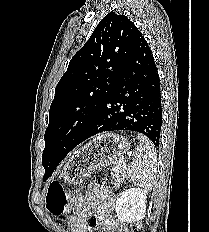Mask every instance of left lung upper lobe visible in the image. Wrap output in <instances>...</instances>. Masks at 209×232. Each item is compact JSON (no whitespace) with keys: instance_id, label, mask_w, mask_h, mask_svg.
Here are the masks:
<instances>
[{"instance_id":"5c2ea615","label":"left lung upper lobe","mask_w":209,"mask_h":232,"mask_svg":"<svg viewBox=\"0 0 209 232\" xmlns=\"http://www.w3.org/2000/svg\"><path fill=\"white\" fill-rule=\"evenodd\" d=\"M142 37L125 16L108 13L89 40L72 57L55 88L45 131L42 165L47 180L77 146L122 72Z\"/></svg>"}]
</instances>
